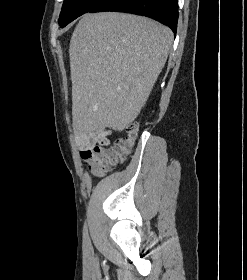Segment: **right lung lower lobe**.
I'll return each instance as SVG.
<instances>
[{"instance_id": "1", "label": "right lung lower lobe", "mask_w": 247, "mask_h": 280, "mask_svg": "<svg viewBox=\"0 0 247 280\" xmlns=\"http://www.w3.org/2000/svg\"><path fill=\"white\" fill-rule=\"evenodd\" d=\"M127 12L153 18L176 34L178 22V0H102L90 12Z\"/></svg>"}]
</instances>
